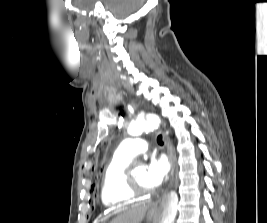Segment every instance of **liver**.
<instances>
[{"label":"liver","mask_w":267,"mask_h":223,"mask_svg":"<svg viewBox=\"0 0 267 223\" xmlns=\"http://www.w3.org/2000/svg\"><path fill=\"white\" fill-rule=\"evenodd\" d=\"M149 208V204L131 207L114 218L110 223H141Z\"/></svg>","instance_id":"1"}]
</instances>
